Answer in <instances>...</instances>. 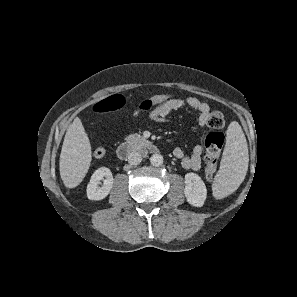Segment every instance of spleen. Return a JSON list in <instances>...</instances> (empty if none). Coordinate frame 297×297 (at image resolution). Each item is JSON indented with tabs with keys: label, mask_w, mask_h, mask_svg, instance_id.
Wrapping results in <instances>:
<instances>
[{
	"label": "spleen",
	"mask_w": 297,
	"mask_h": 297,
	"mask_svg": "<svg viewBox=\"0 0 297 297\" xmlns=\"http://www.w3.org/2000/svg\"><path fill=\"white\" fill-rule=\"evenodd\" d=\"M248 162V146L245 135L238 122H231L227 130L226 146L215 181L219 183L222 194L216 193L214 190L215 195H226L235 191L245 178Z\"/></svg>",
	"instance_id": "1"
}]
</instances>
